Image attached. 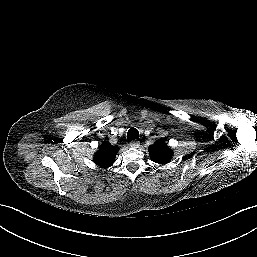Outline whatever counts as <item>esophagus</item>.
Masks as SVG:
<instances>
[{
	"label": "esophagus",
	"mask_w": 257,
	"mask_h": 257,
	"mask_svg": "<svg viewBox=\"0 0 257 257\" xmlns=\"http://www.w3.org/2000/svg\"><path fill=\"white\" fill-rule=\"evenodd\" d=\"M129 145H130V147H132V148H138V147L140 146V142L137 141V140H134V141L130 142Z\"/></svg>",
	"instance_id": "esophagus-1"
}]
</instances>
